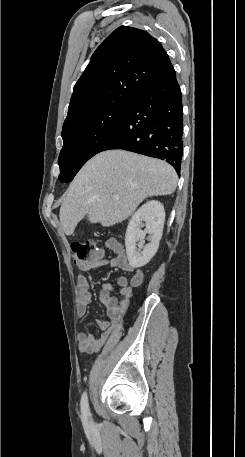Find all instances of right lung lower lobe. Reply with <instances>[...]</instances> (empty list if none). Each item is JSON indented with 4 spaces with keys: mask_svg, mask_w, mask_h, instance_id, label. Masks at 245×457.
Listing matches in <instances>:
<instances>
[{
    "mask_svg": "<svg viewBox=\"0 0 245 457\" xmlns=\"http://www.w3.org/2000/svg\"><path fill=\"white\" fill-rule=\"evenodd\" d=\"M183 107L176 74L143 89L101 151L124 149L170 163L180 175Z\"/></svg>",
    "mask_w": 245,
    "mask_h": 457,
    "instance_id": "1",
    "label": "right lung lower lobe"
}]
</instances>
